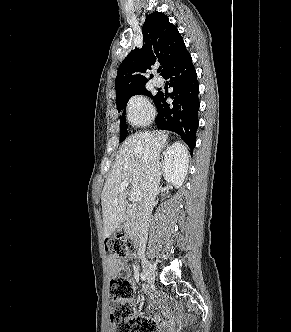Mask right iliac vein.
Instances as JSON below:
<instances>
[{"label": "right iliac vein", "instance_id": "obj_1", "mask_svg": "<svg viewBox=\"0 0 291 332\" xmlns=\"http://www.w3.org/2000/svg\"><path fill=\"white\" fill-rule=\"evenodd\" d=\"M142 266L148 281L153 282L155 280V270L153 265L147 259L143 258Z\"/></svg>", "mask_w": 291, "mask_h": 332}]
</instances>
